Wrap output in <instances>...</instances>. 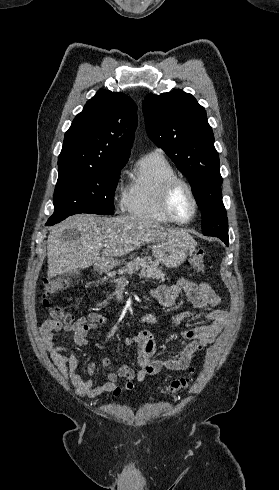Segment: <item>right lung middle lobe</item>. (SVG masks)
Wrapping results in <instances>:
<instances>
[{
    "label": "right lung middle lobe",
    "mask_w": 279,
    "mask_h": 490,
    "mask_svg": "<svg viewBox=\"0 0 279 490\" xmlns=\"http://www.w3.org/2000/svg\"><path fill=\"white\" fill-rule=\"evenodd\" d=\"M125 164L103 166H66L58 168L54 191V225L77 213L114 214V194Z\"/></svg>",
    "instance_id": "right-lung-middle-lobe-1"
}]
</instances>
